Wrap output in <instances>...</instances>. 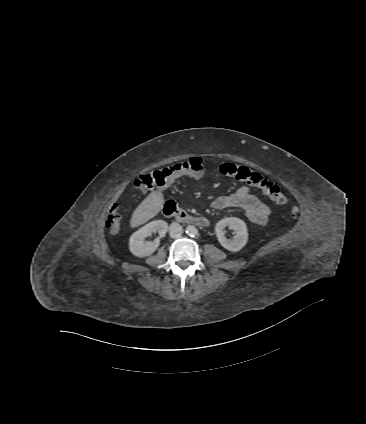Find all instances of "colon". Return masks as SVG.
Here are the masks:
<instances>
[{
  "label": "colon",
  "instance_id": "5ec220e1",
  "mask_svg": "<svg viewBox=\"0 0 366 424\" xmlns=\"http://www.w3.org/2000/svg\"><path fill=\"white\" fill-rule=\"evenodd\" d=\"M223 176L245 182L260 189L264 195L269 197L278 205L285 204L287 199L282 190L275 183L265 179L260 173L238 163H224L220 166ZM205 173V165L201 158L191 157L183 162L168 165L157 170L141 174L134 182L137 189H150L152 187H163L175 179L183 176L200 177ZM299 213L297 206L289 207V215L295 218ZM121 215L118 206H114L107 217L106 226L112 232L120 228Z\"/></svg>",
  "mask_w": 366,
  "mask_h": 424
}]
</instances>
